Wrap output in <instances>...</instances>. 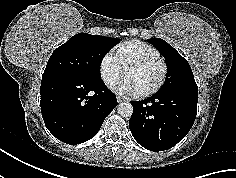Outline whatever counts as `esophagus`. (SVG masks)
<instances>
[{"label": "esophagus", "instance_id": "1", "mask_svg": "<svg viewBox=\"0 0 236 178\" xmlns=\"http://www.w3.org/2000/svg\"><path fill=\"white\" fill-rule=\"evenodd\" d=\"M117 101H118V103H121V102H123L125 100L123 98H121V97H117Z\"/></svg>", "mask_w": 236, "mask_h": 178}]
</instances>
